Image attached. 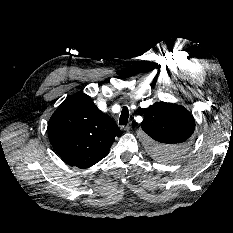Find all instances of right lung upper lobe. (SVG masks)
Here are the masks:
<instances>
[{"label":"right lung upper lobe","mask_w":233,"mask_h":233,"mask_svg":"<svg viewBox=\"0 0 233 233\" xmlns=\"http://www.w3.org/2000/svg\"><path fill=\"white\" fill-rule=\"evenodd\" d=\"M48 135L64 162L88 168L108 155L121 131L88 95L77 93L53 113L48 123Z\"/></svg>","instance_id":"1"}]
</instances>
